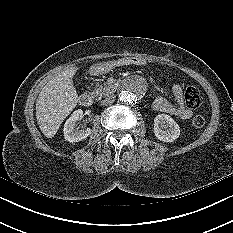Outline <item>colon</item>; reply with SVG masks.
<instances>
[{
    "instance_id": "1",
    "label": "colon",
    "mask_w": 233,
    "mask_h": 233,
    "mask_svg": "<svg viewBox=\"0 0 233 233\" xmlns=\"http://www.w3.org/2000/svg\"><path fill=\"white\" fill-rule=\"evenodd\" d=\"M185 103L189 108L196 109L201 105V96L199 90L192 85L186 87L184 92ZM205 124V119L202 115H196L192 121L191 126L193 128H201Z\"/></svg>"
}]
</instances>
